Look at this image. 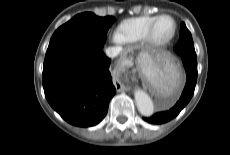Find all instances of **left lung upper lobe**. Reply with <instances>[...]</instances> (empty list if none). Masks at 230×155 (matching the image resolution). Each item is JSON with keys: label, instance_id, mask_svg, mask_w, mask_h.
Listing matches in <instances>:
<instances>
[{"label": "left lung upper lobe", "instance_id": "5c2ea615", "mask_svg": "<svg viewBox=\"0 0 230 155\" xmlns=\"http://www.w3.org/2000/svg\"><path fill=\"white\" fill-rule=\"evenodd\" d=\"M175 52L181 56L192 55L196 56L194 43L192 40L191 33L187 29L184 23L181 24L180 29V39L176 47L174 48Z\"/></svg>", "mask_w": 230, "mask_h": 155}]
</instances>
